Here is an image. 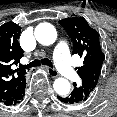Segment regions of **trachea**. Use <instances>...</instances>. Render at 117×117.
Instances as JSON below:
<instances>
[{
    "label": "trachea",
    "mask_w": 117,
    "mask_h": 117,
    "mask_svg": "<svg viewBox=\"0 0 117 117\" xmlns=\"http://www.w3.org/2000/svg\"><path fill=\"white\" fill-rule=\"evenodd\" d=\"M40 63H42L43 65H47V66L53 68L52 62L48 58H43V59H40V60L39 59H35L34 61L29 63L28 65H19V69L26 70V69L34 68V67L39 66Z\"/></svg>",
    "instance_id": "trachea-1"
}]
</instances>
